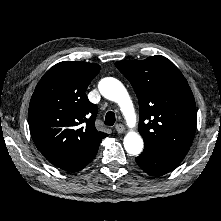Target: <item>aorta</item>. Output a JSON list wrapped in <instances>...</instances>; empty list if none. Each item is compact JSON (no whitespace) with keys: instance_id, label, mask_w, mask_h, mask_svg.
<instances>
[{"instance_id":"1","label":"aorta","mask_w":221,"mask_h":221,"mask_svg":"<svg viewBox=\"0 0 221 221\" xmlns=\"http://www.w3.org/2000/svg\"><path fill=\"white\" fill-rule=\"evenodd\" d=\"M99 91L105 98L116 102L130 126L136 124V114L132 100L124 87L117 79L107 77L102 79L98 85ZM124 148L131 155H138L143 150V140L141 136L133 131L124 137Z\"/></svg>"}]
</instances>
